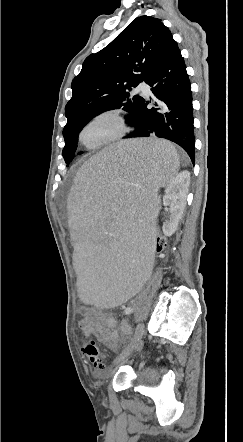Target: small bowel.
Here are the masks:
<instances>
[{
	"label": "small bowel",
	"instance_id": "c3829d8e",
	"mask_svg": "<svg viewBox=\"0 0 243 442\" xmlns=\"http://www.w3.org/2000/svg\"><path fill=\"white\" fill-rule=\"evenodd\" d=\"M82 318L79 321V327L85 336H95L101 343L111 350H116L121 341L117 330L115 318L98 308L83 307L80 310ZM122 329L129 333V326L124 322Z\"/></svg>",
	"mask_w": 243,
	"mask_h": 442
}]
</instances>
